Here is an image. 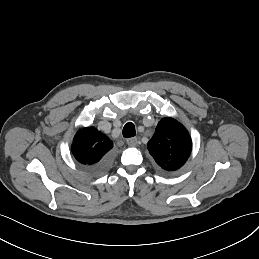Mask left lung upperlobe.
Masks as SVG:
<instances>
[{"label":"left lung upper lobe","mask_w":259,"mask_h":259,"mask_svg":"<svg viewBox=\"0 0 259 259\" xmlns=\"http://www.w3.org/2000/svg\"><path fill=\"white\" fill-rule=\"evenodd\" d=\"M149 153L165 171L182 167L191 153L192 142L186 128L173 118H163L147 143Z\"/></svg>","instance_id":"5c2ea615"}]
</instances>
